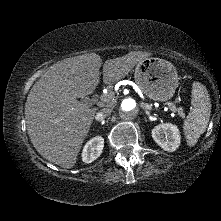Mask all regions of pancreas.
<instances>
[{"mask_svg":"<svg viewBox=\"0 0 221 221\" xmlns=\"http://www.w3.org/2000/svg\"><path fill=\"white\" fill-rule=\"evenodd\" d=\"M105 97L107 99L106 102L108 104L112 105L114 103V93L113 92H109L108 94H105ZM179 114L181 117H184V113L181 109L179 110Z\"/></svg>","mask_w":221,"mask_h":221,"instance_id":"pancreas-1","label":"pancreas"}]
</instances>
